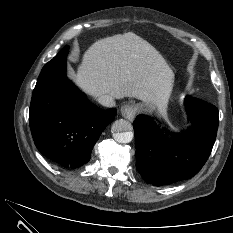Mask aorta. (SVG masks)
<instances>
[{
  "instance_id": "1",
  "label": "aorta",
  "mask_w": 233,
  "mask_h": 233,
  "mask_svg": "<svg viewBox=\"0 0 233 233\" xmlns=\"http://www.w3.org/2000/svg\"><path fill=\"white\" fill-rule=\"evenodd\" d=\"M113 138L118 143H129L133 139L132 125L124 119L116 120L112 124Z\"/></svg>"
}]
</instances>
